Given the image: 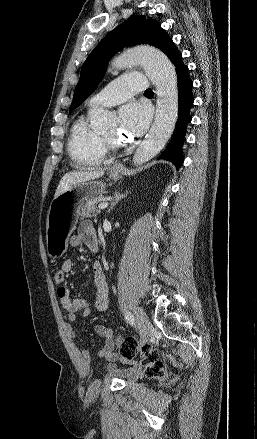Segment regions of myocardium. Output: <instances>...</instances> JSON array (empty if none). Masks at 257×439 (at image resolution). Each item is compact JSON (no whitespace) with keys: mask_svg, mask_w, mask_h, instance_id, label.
Segmentation results:
<instances>
[{"mask_svg":"<svg viewBox=\"0 0 257 439\" xmlns=\"http://www.w3.org/2000/svg\"><path fill=\"white\" fill-rule=\"evenodd\" d=\"M104 143L107 147L115 148L117 146V141L115 138L103 137Z\"/></svg>","mask_w":257,"mask_h":439,"instance_id":"1","label":"myocardium"}]
</instances>
